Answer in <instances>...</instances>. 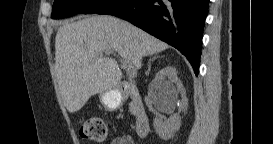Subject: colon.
Wrapping results in <instances>:
<instances>
[{"instance_id":"colon-1","label":"colon","mask_w":273,"mask_h":144,"mask_svg":"<svg viewBox=\"0 0 273 144\" xmlns=\"http://www.w3.org/2000/svg\"><path fill=\"white\" fill-rule=\"evenodd\" d=\"M106 134V124L103 119L99 117H89L81 124L80 136L83 139L103 142L106 138Z\"/></svg>"}]
</instances>
